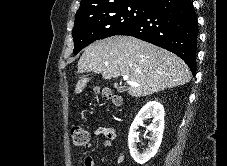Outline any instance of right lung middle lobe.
<instances>
[{
  "instance_id": "obj_1",
  "label": "right lung middle lobe",
  "mask_w": 227,
  "mask_h": 166,
  "mask_svg": "<svg viewBox=\"0 0 227 166\" xmlns=\"http://www.w3.org/2000/svg\"><path fill=\"white\" fill-rule=\"evenodd\" d=\"M149 7L139 3H126L76 14L72 30L74 54L96 40L117 35L140 20Z\"/></svg>"
}]
</instances>
